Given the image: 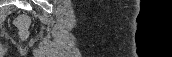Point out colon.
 I'll use <instances>...</instances> for the list:
<instances>
[{"mask_svg": "<svg viewBox=\"0 0 172 57\" xmlns=\"http://www.w3.org/2000/svg\"><path fill=\"white\" fill-rule=\"evenodd\" d=\"M16 24L22 34L26 35L30 24L29 18L25 15H22L17 19Z\"/></svg>", "mask_w": 172, "mask_h": 57, "instance_id": "obj_1", "label": "colon"}]
</instances>
